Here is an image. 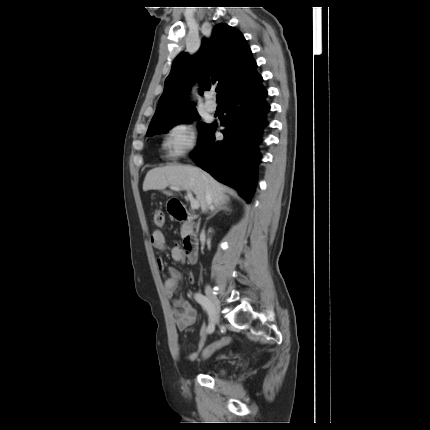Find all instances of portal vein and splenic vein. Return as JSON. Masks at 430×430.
<instances>
[{
    "mask_svg": "<svg viewBox=\"0 0 430 430\" xmlns=\"http://www.w3.org/2000/svg\"><path fill=\"white\" fill-rule=\"evenodd\" d=\"M171 189L178 191V190H181V187L171 186ZM184 189L187 190V196H188V198L190 200L191 208L193 210L198 209L199 208V202L193 198L192 193H191V191L189 189H187V188H184Z\"/></svg>",
    "mask_w": 430,
    "mask_h": 430,
    "instance_id": "18ae733b",
    "label": "portal vein and splenic vein"
}]
</instances>
